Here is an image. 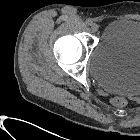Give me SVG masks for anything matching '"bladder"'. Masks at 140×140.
Here are the masks:
<instances>
[{"label": "bladder", "instance_id": "obj_1", "mask_svg": "<svg viewBox=\"0 0 140 140\" xmlns=\"http://www.w3.org/2000/svg\"><path fill=\"white\" fill-rule=\"evenodd\" d=\"M90 72L107 91L140 94V21L115 19L102 30L90 57Z\"/></svg>", "mask_w": 140, "mask_h": 140}]
</instances>
